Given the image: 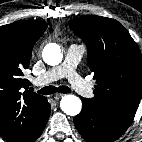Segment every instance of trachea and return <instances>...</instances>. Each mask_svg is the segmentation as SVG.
<instances>
[{
    "instance_id": "3493384b",
    "label": "trachea",
    "mask_w": 142,
    "mask_h": 142,
    "mask_svg": "<svg viewBox=\"0 0 142 142\" xmlns=\"http://www.w3.org/2000/svg\"><path fill=\"white\" fill-rule=\"evenodd\" d=\"M33 90V89H32ZM59 92V93H70L71 90L69 87L67 86H59V87H55V86H47V87H44L42 89H40L38 91L39 94H44V95H49V94H54L56 92Z\"/></svg>"
}]
</instances>
